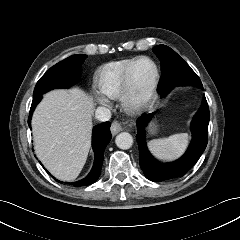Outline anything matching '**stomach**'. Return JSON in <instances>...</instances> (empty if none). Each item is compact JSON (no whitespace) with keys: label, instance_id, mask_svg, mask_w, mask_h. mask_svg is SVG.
Segmentation results:
<instances>
[{"label":"stomach","instance_id":"stomach-1","mask_svg":"<svg viewBox=\"0 0 240 240\" xmlns=\"http://www.w3.org/2000/svg\"><path fill=\"white\" fill-rule=\"evenodd\" d=\"M155 130H156V126L153 124V125L151 126V132H155Z\"/></svg>","mask_w":240,"mask_h":240}]
</instances>
